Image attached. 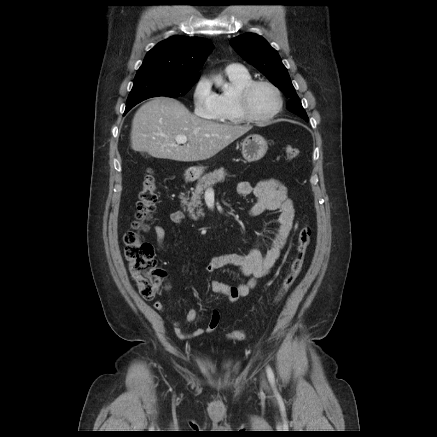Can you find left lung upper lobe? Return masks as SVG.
Instances as JSON below:
<instances>
[{
	"label": "left lung upper lobe",
	"mask_w": 437,
	"mask_h": 437,
	"mask_svg": "<svg viewBox=\"0 0 437 437\" xmlns=\"http://www.w3.org/2000/svg\"><path fill=\"white\" fill-rule=\"evenodd\" d=\"M230 45L244 60L256 67L271 83L284 92L289 98L287 109L290 112L308 120L286 67L277 51L263 37L254 33H246L231 39Z\"/></svg>",
	"instance_id": "obj_1"
}]
</instances>
